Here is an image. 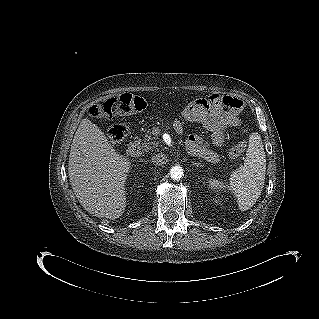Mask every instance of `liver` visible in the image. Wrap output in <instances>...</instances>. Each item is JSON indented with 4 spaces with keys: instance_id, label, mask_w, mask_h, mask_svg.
Listing matches in <instances>:
<instances>
[{
    "instance_id": "obj_1",
    "label": "liver",
    "mask_w": 319,
    "mask_h": 319,
    "mask_svg": "<svg viewBox=\"0 0 319 319\" xmlns=\"http://www.w3.org/2000/svg\"><path fill=\"white\" fill-rule=\"evenodd\" d=\"M131 163L104 133L84 118L69 155V181L83 208L98 218H119L126 208L125 182Z\"/></svg>"
}]
</instances>
